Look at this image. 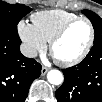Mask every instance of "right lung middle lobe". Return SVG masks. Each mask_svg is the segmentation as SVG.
<instances>
[{
  "label": "right lung middle lobe",
  "instance_id": "right-lung-middle-lobe-1",
  "mask_svg": "<svg viewBox=\"0 0 102 102\" xmlns=\"http://www.w3.org/2000/svg\"><path fill=\"white\" fill-rule=\"evenodd\" d=\"M32 9L23 4L0 2V34H18L17 24Z\"/></svg>",
  "mask_w": 102,
  "mask_h": 102
}]
</instances>
